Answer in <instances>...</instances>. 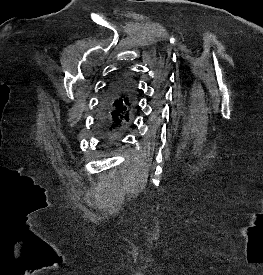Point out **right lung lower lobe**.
Masks as SVG:
<instances>
[{"instance_id":"98d812e1","label":"right lung lower lobe","mask_w":263,"mask_h":275,"mask_svg":"<svg viewBox=\"0 0 263 275\" xmlns=\"http://www.w3.org/2000/svg\"><path fill=\"white\" fill-rule=\"evenodd\" d=\"M125 79L131 81L128 75L121 76L118 81L108 86L100 99L96 124L97 130L106 144H110L118 138L130 123L131 117L123 119L119 110V104L124 92L122 81Z\"/></svg>"}]
</instances>
